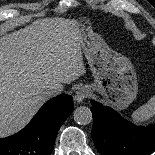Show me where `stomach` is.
Returning <instances> with one entry per match:
<instances>
[{"label":"stomach","mask_w":155,"mask_h":155,"mask_svg":"<svg viewBox=\"0 0 155 155\" xmlns=\"http://www.w3.org/2000/svg\"><path fill=\"white\" fill-rule=\"evenodd\" d=\"M78 23L80 47L94 77L90 87L115 109H126L138 92L137 76L131 61L110 49L102 37L90 29L88 19H80Z\"/></svg>","instance_id":"1"}]
</instances>
